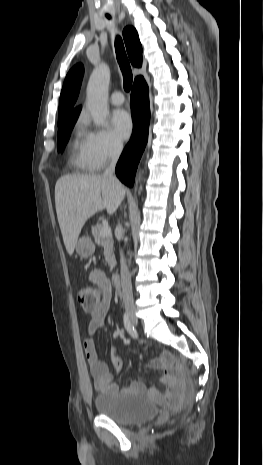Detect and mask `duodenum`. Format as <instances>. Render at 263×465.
Here are the masks:
<instances>
[{
    "label": "duodenum",
    "mask_w": 263,
    "mask_h": 465,
    "mask_svg": "<svg viewBox=\"0 0 263 465\" xmlns=\"http://www.w3.org/2000/svg\"><path fill=\"white\" fill-rule=\"evenodd\" d=\"M112 281H113L114 287H115V289H116V292H117L118 294H121L122 288H121V280H120L119 274L114 273V274L112 275Z\"/></svg>",
    "instance_id": "1"
}]
</instances>
